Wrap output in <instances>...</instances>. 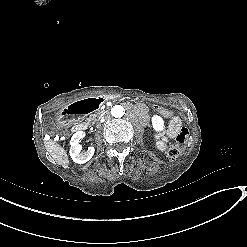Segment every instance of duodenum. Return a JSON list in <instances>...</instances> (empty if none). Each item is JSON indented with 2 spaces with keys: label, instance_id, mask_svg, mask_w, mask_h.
<instances>
[{
  "label": "duodenum",
  "instance_id": "duodenum-1",
  "mask_svg": "<svg viewBox=\"0 0 247 247\" xmlns=\"http://www.w3.org/2000/svg\"><path fill=\"white\" fill-rule=\"evenodd\" d=\"M105 99L107 98H104L102 96H93L76 101L70 104L64 110L63 112L64 118L70 121L76 120L78 117L98 109L102 105ZM86 127H87L86 123L81 122V123H77L74 126V130L83 131L86 129Z\"/></svg>",
  "mask_w": 247,
  "mask_h": 247
}]
</instances>
